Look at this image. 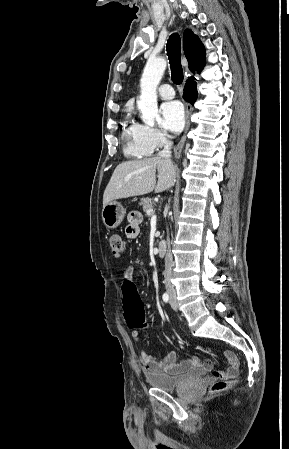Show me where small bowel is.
I'll use <instances>...</instances> for the list:
<instances>
[{"instance_id": "1", "label": "small bowel", "mask_w": 289, "mask_h": 449, "mask_svg": "<svg viewBox=\"0 0 289 449\" xmlns=\"http://www.w3.org/2000/svg\"><path fill=\"white\" fill-rule=\"evenodd\" d=\"M141 215L136 212H131L128 215V224L125 228L126 236L130 239H135L139 235ZM125 279H132L134 281V270L132 267L126 268L123 273V281ZM134 340L138 342L141 346L140 348V358L142 362L143 369L148 374H158L165 373L169 375H177L184 373L190 369H203L210 371L213 369V362L211 360H206L203 363L197 357H191L189 359L177 362L176 353L169 352L165 356L156 360L150 356L142 347L143 342L140 338L137 329H133L131 333ZM223 357L228 363V367L225 370H214L213 374L217 378L233 379L239 373L240 362L237 355L230 350L223 352Z\"/></svg>"}]
</instances>
